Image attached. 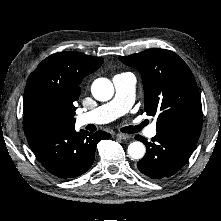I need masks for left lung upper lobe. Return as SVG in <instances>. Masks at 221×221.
Masks as SVG:
<instances>
[{"instance_id": "left-lung-upper-lobe-1", "label": "left lung upper lobe", "mask_w": 221, "mask_h": 221, "mask_svg": "<svg viewBox=\"0 0 221 221\" xmlns=\"http://www.w3.org/2000/svg\"><path fill=\"white\" fill-rule=\"evenodd\" d=\"M119 59L141 73L145 111L157 116V131L180 130L200 135V94L190 68L177 54L149 49Z\"/></svg>"}]
</instances>
